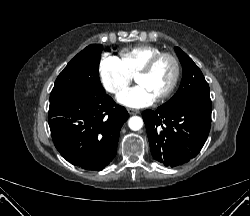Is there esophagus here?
<instances>
[{
	"label": "esophagus",
	"instance_id": "1",
	"mask_svg": "<svg viewBox=\"0 0 250 216\" xmlns=\"http://www.w3.org/2000/svg\"><path fill=\"white\" fill-rule=\"evenodd\" d=\"M127 111H128V113L130 115H134V114H138L139 113L138 110H135V109H132V108H128Z\"/></svg>",
	"mask_w": 250,
	"mask_h": 216
}]
</instances>
